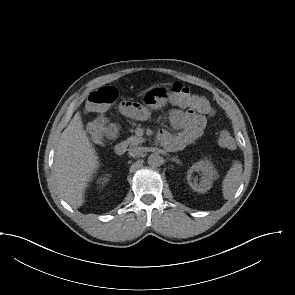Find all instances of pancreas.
<instances>
[{
  "label": "pancreas",
  "instance_id": "obj_1",
  "mask_svg": "<svg viewBox=\"0 0 295 295\" xmlns=\"http://www.w3.org/2000/svg\"><path fill=\"white\" fill-rule=\"evenodd\" d=\"M145 139L143 137H138V136H131L128 138L125 143L129 146H137L141 143H143Z\"/></svg>",
  "mask_w": 295,
  "mask_h": 295
}]
</instances>
